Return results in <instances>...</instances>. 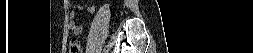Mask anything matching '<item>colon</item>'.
Wrapping results in <instances>:
<instances>
[{"instance_id":"1","label":"colon","mask_w":253,"mask_h":53,"mask_svg":"<svg viewBox=\"0 0 253 53\" xmlns=\"http://www.w3.org/2000/svg\"><path fill=\"white\" fill-rule=\"evenodd\" d=\"M69 53H81V46L78 39L73 38L69 42Z\"/></svg>"}]
</instances>
